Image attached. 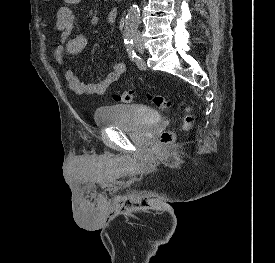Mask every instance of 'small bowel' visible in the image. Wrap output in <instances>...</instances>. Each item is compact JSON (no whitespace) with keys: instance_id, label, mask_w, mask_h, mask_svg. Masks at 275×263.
Here are the masks:
<instances>
[{"instance_id":"obj_1","label":"small bowel","mask_w":275,"mask_h":263,"mask_svg":"<svg viewBox=\"0 0 275 263\" xmlns=\"http://www.w3.org/2000/svg\"><path fill=\"white\" fill-rule=\"evenodd\" d=\"M81 0H65L66 5L59 8L55 26L60 32L59 44L54 51V57L59 65H64V54L76 55L81 53L86 45L87 39L82 34L72 36L75 25V15L69 5L78 4ZM118 18V11L111 9L105 16L107 24H113ZM126 72V65L123 61L113 64L112 70L102 79L93 82H83L77 74L69 67L65 70V80L68 87L78 95L97 96L105 94L109 87Z\"/></svg>"}]
</instances>
